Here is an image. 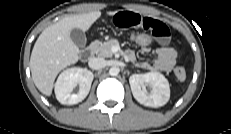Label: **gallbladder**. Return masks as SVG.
Masks as SVG:
<instances>
[{
    "instance_id": "bac80fb5",
    "label": "gallbladder",
    "mask_w": 231,
    "mask_h": 134,
    "mask_svg": "<svg viewBox=\"0 0 231 134\" xmlns=\"http://www.w3.org/2000/svg\"><path fill=\"white\" fill-rule=\"evenodd\" d=\"M70 36L76 46H78L79 48L85 47L87 39L85 33L82 30L72 29L70 32Z\"/></svg>"
}]
</instances>
